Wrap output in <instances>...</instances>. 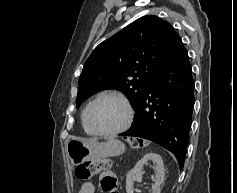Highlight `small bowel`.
Returning <instances> with one entry per match:
<instances>
[{
  "label": "small bowel",
  "instance_id": "c3829d8e",
  "mask_svg": "<svg viewBox=\"0 0 237 193\" xmlns=\"http://www.w3.org/2000/svg\"><path fill=\"white\" fill-rule=\"evenodd\" d=\"M101 188L105 193H116L117 179L112 171H104L100 176ZM78 193H95V187L92 182L84 183Z\"/></svg>",
  "mask_w": 237,
  "mask_h": 193
}]
</instances>
